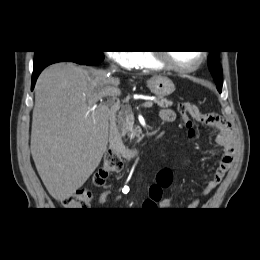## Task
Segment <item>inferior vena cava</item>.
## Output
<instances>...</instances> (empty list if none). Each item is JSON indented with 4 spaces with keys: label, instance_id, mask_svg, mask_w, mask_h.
I'll return each instance as SVG.
<instances>
[{
    "label": "inferior vena cava",
    "instance_id": "1",
    "mask_svg": "<svg viewBox=\"0 0 260 260\" xmlns=\"http://www.w3.org/2000/svg\"><path fill=\"white\" fill-rule=\"evenodd\" d=\"M110 69L113 70V69H114V66H111Z\"/></svg>",
    "mask_w": 260,
    "mask_h": 260
}]
</instances>
